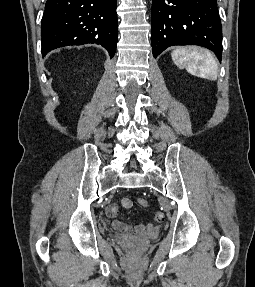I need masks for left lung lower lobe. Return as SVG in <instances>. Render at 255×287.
Returning a JSON list of instances; mask_svg holds the SVG:
<instances>
[{"label":"left lung lower lobe","instance_id":"1","mask_svg":"<svg viewBox=\"0 0 255 287\" xmlns=\"http://www.w3.org/2000/svg\"><path fill=\"white\" fill-rule=\"evenodd\" d=\"M153 56L174 45H199L222 58V25L216 0H152Z\"/></svg>","mask_w":255,"mask_h":287}]
</instances>
